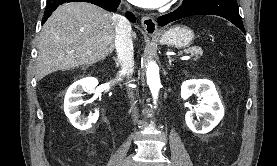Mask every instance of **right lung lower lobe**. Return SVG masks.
I'll list each match as a JSON object with an SVG mask.
<instances>
[{
	"instance_id": "right-lung-lower-lobe-1",
	"label": "right lung lower lobe",
	"mask_w": 277,
	"mask_h": 166,
	"mask_svg": "<svg viewBox=\"0 0 277 166\" xmlns=\"http://www.w3.org/2000/svg\"><path fill=\"white\" fill-rule=\"evenodd\" d=\"M76 1L90 2L92 4L102 7L103 9L108 10V11H115L120 4V0H48L47 6L45 9V13H44V17L42 20V24L45 23V21L48 19V17L51 15V13L59 5L66 3V2H76ZM126 17L132 22L135 21V18L133 16V14H131V13H127Z\"/></svg>"
}]
</instances>
